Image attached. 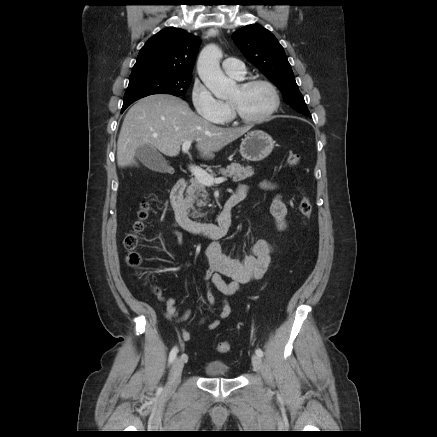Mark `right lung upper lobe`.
<instances>
[{"instance_id":"obj_1","label":"right lung upper lobe","mask_w":437,"mask_h":437,"mask_svg":"<svg viewBox=\"0 0 437 437\" xmlns=\"http://www.w3.org/2000/svg\"><path fill=\"white\" fill-rule=\"evenodd\" d=\"M200 40L170 27L151 37L141 48L132 71L156 70L171 75H191Z\"/></svg>"}]
</instances>
